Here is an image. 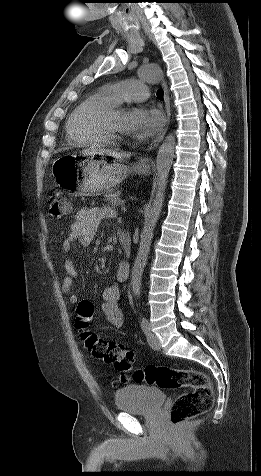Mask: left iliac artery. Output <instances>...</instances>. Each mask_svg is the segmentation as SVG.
Masks as SVG:
<instances>
[{
  "label": "left iliac artery",
  "instance_id": "44dca946",
  "mask_svg": "<svg viewBox=\"0 0 261 476\" xmlns=\"http://www.w3.org/2000/svg\"><path fill=\"white\" fill-rule=\"evenodd\" d=\"M141 328H142L144 333H147L148 328H149L148 320L143 316H141Z\"/></svg>",
  "mask_w": 261,
  "mask_h": 476
}]
</instances>
